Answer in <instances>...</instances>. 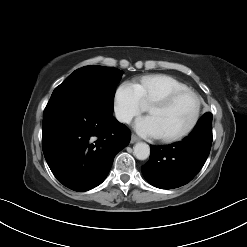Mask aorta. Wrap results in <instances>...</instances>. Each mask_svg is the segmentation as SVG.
Segmentation results:
<instances>
[{
    "instance_id": "762f6f07",
    "label": "aorta",
    "mask_w": 247,
    "mask_h": 247,
    "mask_svg": "<svg viewBox=\"0 0 247 247\" xmlns=\"http://www.w3.org/2000/svg\"><path fill=\"white\" fill-rule=\"evenodd\" d=\"M134 155L139 160H145L150 155V147L145 142H137L133 147Z\"/></svg>"
}]
</instances>
